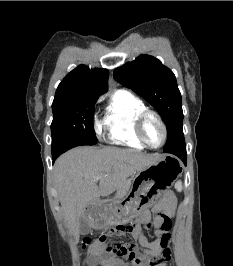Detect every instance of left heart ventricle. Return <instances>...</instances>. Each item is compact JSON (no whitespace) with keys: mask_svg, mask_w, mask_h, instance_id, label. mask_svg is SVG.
Segmentation results:
<instances>
[{"mask_svg":"<svg viewBox=\"0 0 233 266\" xmlns=\"http://www.w3.org/2000/svg\"><path fill=\"white\" fill-rule=\"evenodd\" d=\"M144 135L147 141L153 146H157L161 143L163 130L159 122L154 117L147 118L144 125Z\"/></svg>","mask_w":233,"mask_h":266,"instance_id":"1","label":"left heart ventricle"}]
</instances>
